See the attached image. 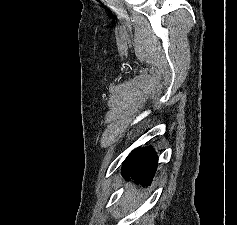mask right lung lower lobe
I'll list each match as a JSON object with an SVG mask.
<instances>
[{
	"mask_svg": "<svg viewBox=\"0 0 237 225\" xmlns=\"http://www.w3.org/2000/svg\"><path fill=\"white\" fill-rule=\"evenodd\" d=\"M158 158L151 147L134 149L123 163L122 175L128 181L132 179L143 187L150 185Z\"/></svg>",
	"mask_w": 237,
	"mask_h": 225,
	"instance_id": "right-lung-lower-lobe-1",
	"label": "right lung lower lobe"
}]
</instances>
